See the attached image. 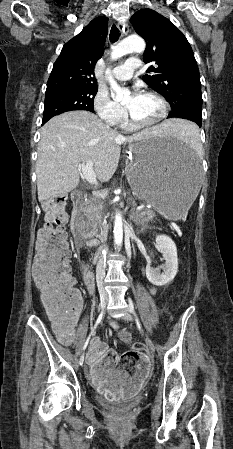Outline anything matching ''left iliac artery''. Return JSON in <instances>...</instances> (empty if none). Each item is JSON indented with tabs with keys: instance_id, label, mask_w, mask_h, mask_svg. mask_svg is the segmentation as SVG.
<instances>
[{
	"instance_id": "left-iliac-artery-1",
	"label": "left iliac artery",
	"mask_w": 233,
	"mask_h": 449,
	"mask_svg": "<svg viewBox=\"0 0 233 449\" xmlns=\"http://www.w3.org/2000/svg\"><path fill=\"white\" fill-rule=\"evenodd\" d=\"M129 303H130V309H131V312L134 313V307H133V303H132L131 299H129ZM134 315H135V318H136L137 323L139 324L138 317L136 316L135 313H134Z\"/></svg>"
}]
</instances>
